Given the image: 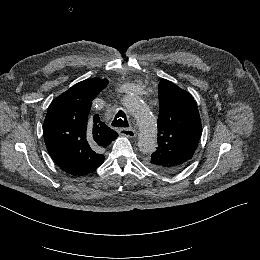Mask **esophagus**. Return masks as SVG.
Wrapping results in <instances>:
<instances>
[{"label":"esophagus","instance_id":"34e87169","mask_svg":"<svg viewBox=\"0 0 260 260\" xmlns=\"http://www.w3.org/2000/svg\"><path fill=\"white\" fill-rule=\"evenodd\" d=\"M119 133L125 137L134 138L136 136L135 130L131 128H121Z\"/></svg>","mask_w":260,"mask_h":260}]
</instances>
